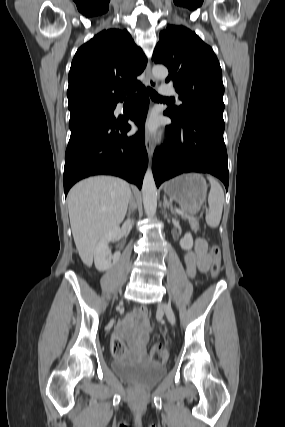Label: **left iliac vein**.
<instances>
[{
	"label": "left iliac vein",
	"instance_id": "4c4485c4",
	"mask_svg": "<svg viewBox=\"0 0 285 427\" xmlns=\"http://www.w3.org/2000/svg\"><path fill=\"white\" fill-rule=\"evenodd\" d=\"M159 309H163L168 320H169V322L171 324H175V316H174L173 310H172L170 305L165 304V303H161V304H159Z\"/></svg>",
	"mask_w": 285,
	"mask_h": 427
}]
</instances>
